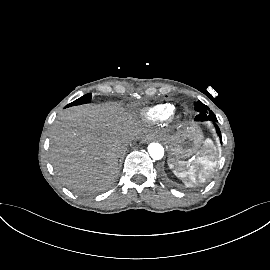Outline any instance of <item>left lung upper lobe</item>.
Segmentation results:
<instances>
[{
  "label": "left lung upper lobe",
  "mask_w": 270,
  "mask_h": 270,
  "mask_svg": "<svg viewBox=\"0 0 270 270\" xmlns=\"http://www.w3.org/2000/svg\"><path fill=\"white\" fill-rule=\"evenodd\" d=\"M195 110L198 112V115L195 117L196 121H199L204 116L214 115L212 111L208 112L209 108L200 101L195 104Z\"/></svg>",
  "instance_id": "left-lung-upper-lobe-1"
}]
</instances>
